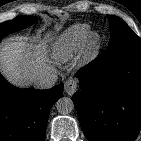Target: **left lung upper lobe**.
I'll return each mask as SVG.
<instances>
[{
    "mask_svg": "<svg viewBox=\"0 0 141 141\" xmlns=\"http://www.w3.org/2000/svg\"><path fill=\"white\" fill-rule=\"evenodd\" d=\"M110 21L111 38L107 51L119 49H141L140 38L120 18L108 15Z\"/></svg>",
    "mask_w": 141,
    "mask_h": 141,
    "instance_id": "1",
    "label": "left lung upper lobe"
}]
</instances>
